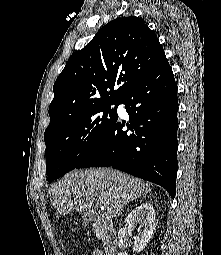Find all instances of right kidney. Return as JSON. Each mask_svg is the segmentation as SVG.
I'll return each instance as SVG.
<instances>
[{"instance_id":"obj_1","label":"right kidney","mask_w":221,"mask_h":255,"mask_svg":"<svg viewBox=\"0 0 221 255\" xmlns=\"http://www.w3.org/2000/svg\"><path fill=\"white\" fill-rule=\"evenodd\" d=\"M155 209L148 203H142L132 210L125 219L126 227L132 230L137 224L140 225L138 234L134 237L133 251L141 252L150 241L156 224ZM117 255H128L125 252H118ZM136 255V254H135Z\"/></svg>"}]
</instances>
